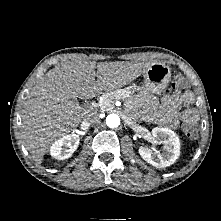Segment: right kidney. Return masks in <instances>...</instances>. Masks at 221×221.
I'll use <instances>...</instances> for the list:
<instances>
[{
  "label": "right kidney",
  "mask_w": 221,
  "mask_h": 221,
  "mask_svg": "<svg viewBox=\"0 0 221 221\" xmlns=\"http://www.w3.org/2000/svg\"><path fill=\"white\" fill-rule=\"evenodd\" d=\"M79 141V136L76 134L63 136L50 147V154L57 160L68 159L77 149Z\"/></svg>",
  "instance_id": "right-kidney-1"
}]
</instances>
